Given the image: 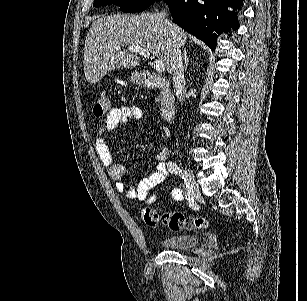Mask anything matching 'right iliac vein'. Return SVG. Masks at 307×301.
<instances>
[{
	"label": "right iliac vein",
	"mask_w": 307,
	"mask_h": 301,
	"mask_svg": "<svg viewBox=\"0 0 307 301\" xmlns=\"http://www.w3.org/2000/svg\"><path fill=\"white\" fill-rule=\"evenodd\" d=\"M184 168H185V175H186V182L188 185V189H190L192 191V196L193 197H197L200 195V191L198 189V186L195 182V179L192 175V171L189 168L188 164H184Z\"/></svg>",
	"instance_id": "1"
}]
</instances>
